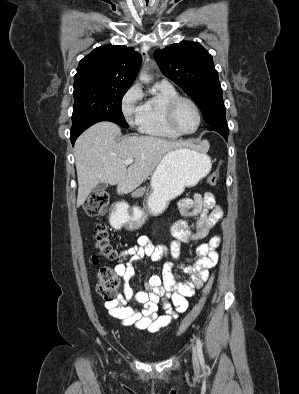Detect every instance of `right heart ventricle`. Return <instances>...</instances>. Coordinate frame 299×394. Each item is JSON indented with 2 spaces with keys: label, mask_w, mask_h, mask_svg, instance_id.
<instances>
[{
  "label": "right heart ventricle",
  "mask_w": 299,
  "mask_h": 394,
  "mask_svg": "<svg viewBox=\"0 0 299 394\" xmlns=\"http://www.w3.org/2000/svg\"><path fill=\"white\" fill-rule=\"evenodd\" d=\"M156 93L144 104L139 120L140 131L146 135L176 139L180 135L172 131L165 119V107L169 101L176 98L178 92L171 84L158 82L155 84Z\"/></svg>",
  "instance_id": "e07e8e85"
}]
</instances>
